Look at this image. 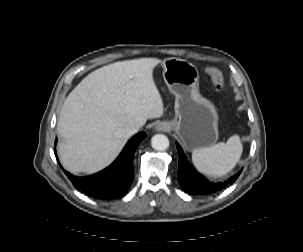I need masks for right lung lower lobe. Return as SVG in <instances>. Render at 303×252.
I'll use <instances>...</instances> for the list:
<instances>
[{
  "label": "right lung lower lobe",
  "instance_id": "right-lung-lower-lobe-1",
  "mask_svg": "<svg viewBox=\"0 0 303 252\" xmlns=\"http://www.w3.org/2000/svg\"><path fill=\"white\" fill-rule=\"evenodd\" d=\"M145 136V132H140L131 138L113 164L97 174L79 178L64 172L75 188L83 193L98 199L119 198L128 191L133 181V156Z\"/></svg>",
  "mask_w": 303,
  "mask_h": 252
}]
</instances>
